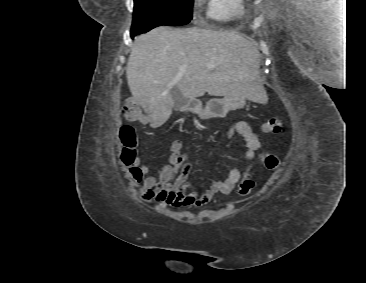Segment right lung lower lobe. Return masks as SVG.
<instances>
[{"instance_id":"obj_1","label":"right lung lower lobe","mask_w":366,"mask_h":283,"mask_svg":"<svg viewBox=\"0 0 366 283\" xmlns=\"http://www.w3.org/2000/svg\"><path fill=\"white\" fill-rule=\"evenodd\" d=\"M136 34L135 33H131V37L133 38Z\"/></svg>"}]
</instances>
